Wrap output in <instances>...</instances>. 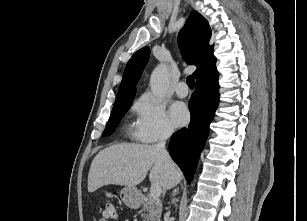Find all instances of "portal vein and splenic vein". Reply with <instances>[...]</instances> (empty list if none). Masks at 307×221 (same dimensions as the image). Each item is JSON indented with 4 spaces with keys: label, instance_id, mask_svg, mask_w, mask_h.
Instances as JSON below:
<instances>
[{
    "label": "portal vein and splenic vein",
    "instance_id": "portal-vein-and-splenic-vein-1",
    "mask_svg": "<svg viewBox=\"0 0 307 221\" xmlns=\"http://www.w3.org/2000/svg\"><path fill=\"white\" fill-rule=\"evenodd\" d=\"M162 193L161 186L158 183L151 184L150 196L154 199H158Z\"/></svg>",
    "mask_w": 307,
    "mask_h": 221
}]
</instances>
